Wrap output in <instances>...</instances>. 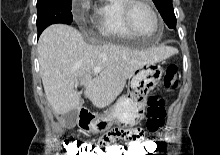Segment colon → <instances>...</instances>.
<instances>
[{
    "label": "colon",
    "mask_w": 220,
    "mask_h": 155,
    "mask_svg": "<svg viewBox=\"0 0 220 155\" xmlns=\"http://www.w3.org/2000/svg\"><path fill=\"white\" fill-rule=\"evenodd\" d=\"M178 69L176 65L166 68L162 86L167 89L178 87ZM165 109L163 98L152 95L148 98L146 108V126L150 132H157L164 124ZM95 145L79 140L65 142V155H158L157 139H139L124 142V146Z\"/></svg>",
    "instance_id": "colon-1"
}]
</instances>
